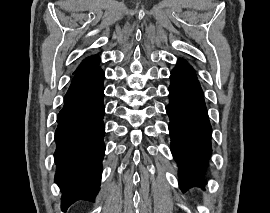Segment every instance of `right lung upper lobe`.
Returning a JSON list of instances; mask_svg holds the SVG:
<instances>
[{"label": "right lung upper lobe", "instance_id": "1", "mask_svg": "<svg viewBox=\"0 0 270 213\" xmlns=\"http://www.w3.org/2000/svg\"><path fill=\"white\" fill-rule=\"evenodd\" d=\"M100 62L99 56L98 55H92L87 58H85L81 64L78 66L74 74L85 71L91 68L98 67V63Z\"/></svg>", "mask_w": 270, "mask_h": 213}]
</instances>
